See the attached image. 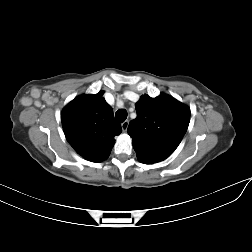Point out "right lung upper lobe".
Masks as SVG:
<instances>
[{
    "mask_svg": "<svg viewBox=\"0 0 252 252\" xmlns=\"http://www.w3.org/2000/svg\"><path fill=\"white\" fill-rule=\"evenodd\" d=\"M81 95L71 101L61 113L67 141L85 159L101 162L110 155L121 125L113 119L111 106L102 97Z\"/></svg>",
    "mask_w": 252,
    "mask_h": 252,
    "instance_id": "1",
    "label": "right lung upper lobe"
}]
</instances>
